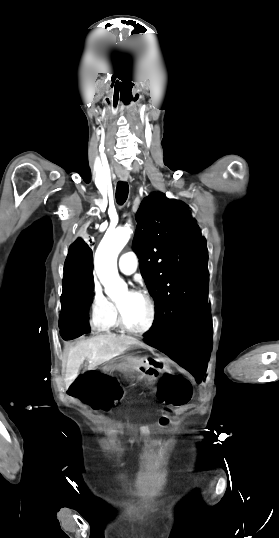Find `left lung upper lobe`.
Here are the masks:
<instances>
[{"label": "left lung upper lobe", "mask_w": 279, "mask_h": 538, "mask_svg": "<svg viewBox=\"0 0 279 538\" xmlns=\"http://www.w3.org/2000/svg\"><path fill=\"white\" fill-rule=\"evenodd\" d=\"M136 221L133 249L155 300V320L147 335L162 336L208 301L206 241L188 208L159 192L142 201Z\"/></svg>", "instance_id": "obj_1"}]
</instances>
